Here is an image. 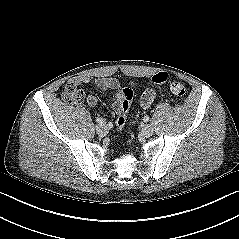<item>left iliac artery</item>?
Returning a JSON list of instances; mask_svg holds the SVG:
<instances>
[{
    "label": "left iliac artery",
    "mask_w": 239,
    "mask_h": 239,
    "mask_svg": "<svg viewBox=\"0 0 239 239\" xmlns=\"http://www.w3.org/2000/svg\"><path fill=\"white\" fill-rule=\"evenodd\" d=\"M145 122H148L149 121V117L148 116H144V119H143Z\"/></svg>",
    "instance_id": "44dca946"
}]
</instances>
